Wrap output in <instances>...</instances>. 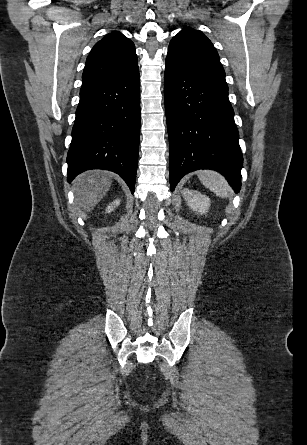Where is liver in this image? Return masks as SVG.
I'll return each mask as SVG.
<instances>
[{
    "mask_svg": "<svg viewBox=\"0 0 307 445\" xmlns=\"http://www.w3.org/2000/svg\"><path fill=\"white\" fill-rule=\"evenodd\" d=\"M111 186V178L105 170H86L74 180L75 204L84 212H91Z\"/></svg>",
    "mask_w": 307,
    "mask_h": 445,
    "instance_id": "6515ba94",
    "label": "liver"
}]
</instances>
